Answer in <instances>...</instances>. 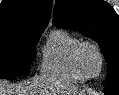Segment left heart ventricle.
I'll list each match as a JSON object with an SVG mask.
<instances>
[{
  "instance_id": "b2bd125f",
  "label": "left heart ventricle",
  "mask_w": 119,
  "mask_h": 95,
  "mask_svg": "<svg viewBox=\"0 0 119 95\" xmlns=\"http://www.w3.org/2000/svg\"><path fill=\"white\" fill-rule=\"evenodd\" d=\"M84 68L90 74H96L100 69V59L96 51L90 47L85 48L81 54Z\"/></svg>"
}]
</instances>
